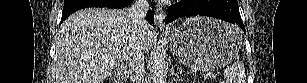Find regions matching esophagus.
Instances as JSON below:
<instances>
[{
	"label": "esophagus",
	"mask_w": 307,
	"mask_h": 83,
	"mask_svg": "<svg viewBox=\"0 0 307 83\" xmlns=\"http://www.w3.org/2000/svg\"><path fill=\"white\" fill-rule=\"evenodd\" d=\"M165 14L163 12V9L160 6H156L155 9V24L160 29H167V26L165 25Z\"/></svg>",
	"instance_id": "34e87169"
}]
</instances>
